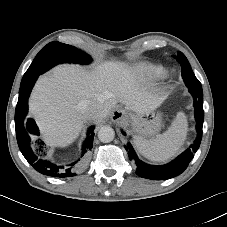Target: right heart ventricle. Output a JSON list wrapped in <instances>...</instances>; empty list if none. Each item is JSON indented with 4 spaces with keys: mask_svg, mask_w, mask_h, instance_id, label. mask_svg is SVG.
Here are the masks:
<instances>
[{
    "mask_svg": "<svg viewBox=\"0 0 227 227\" xmlns=\"http://www.w3.org/2000/svg\"><path fill=\"white\" fill-rule=\"evenodd\" d=\"M142 71L150 77L157 78L163 75L164 69L159 65L145 64L141 67Z\"/></svg>",
    "mask_w": 227,
    "mask_h": 227,
    "instance_id": "1",
    "label": "right heart ventricle"
}]
</instances>
